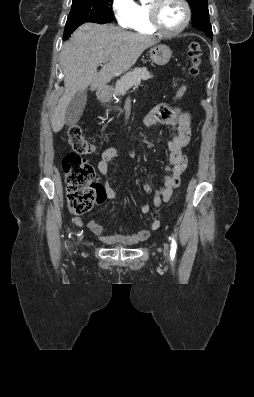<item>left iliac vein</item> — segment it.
<instances>
[{
  "instance_id": "left-iliac-vein-1",
  "label": "left iliac vein",
  "mask_w": 254,
  "mask_h": 397,
  "mask_svg": "<svg viewBox=\"0 0 254 397\" xmlns=\"http://www.w3.org/2000/svg\"><path fill=\"white\" fill-rule=\"evenodd\" d=\"M168 248H169V247H168V244L165 243V244H164V255H165V256L168 255Z\"/></svg>"
}]
</instances>
